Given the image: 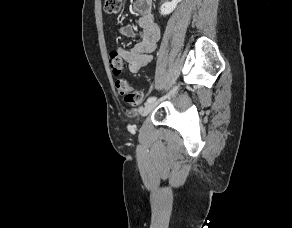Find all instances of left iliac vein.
<instances>
[{"mask_svg":"<svg viewBox=\"0 0 292 228\" xmlns=\"http://www.w3.org/2000/svg\"><path fill=\"white\" fill-rule=\"evenodd\" d=\"M176 91H177V86L174 87V88L170 91V93L166 96V98H171L172 96H174L175 93H176ZM158 103H159V102H156V101H154V102H147V103L145 104V106L143 107V109H142V114H143V115H147V114H149L151 111H153V110L156 108V106L158 105Z\"/></svg>","mask_w":292,"mask_h":228,"instance_id":"obj_1","label":"left iliac vein"}]
</instances>
